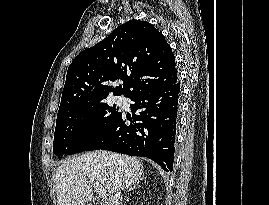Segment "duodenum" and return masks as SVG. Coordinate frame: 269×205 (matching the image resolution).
<instances>
[{"label": "duodenum", "instance_id": "obj_1", "mask_svg": "<svg viewBox=\"0 0 269 205\" xmlns=\"http://www.w3.org/2000/svg\"><path fill=\"white\" fill-rule=\"evenodd\" d=\"M88 205H103V204H101V203H90Z\"/></svg>", "mask_w": 269, "mask_h": 205}]
</instances>
